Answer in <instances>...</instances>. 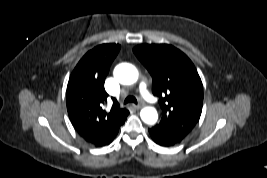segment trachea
<instances>
[{"instance_id":"3493384b","label":"trachea","mask_w":267,"mask_h":178,"mask_svg":"<svg viewBox=\"0 0 267 178\" xmlns=\"http://www.w3.org/2000/svg\"><path fill=\"white\" fill-rule=\"evenodd\" d=\"M127 103H135V104H137V99L134 96H128L124 100V104H127Z\"/></svg>"}]
</instances>
